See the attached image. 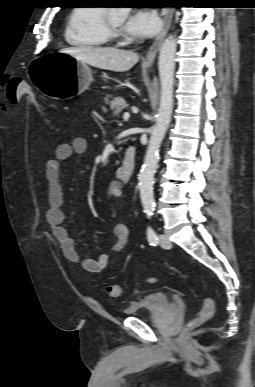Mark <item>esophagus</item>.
<instances>
[{
    "instance_id": "34e87169",
    "label": "esophagus",
    "mask_w": 255,
    "mask_h": 387,
    "mask_svg": "<svg viewBox=\"0 0 255 387\" xmlns=\"http://www.w3.org/2000/svg\"><path fill=\"white\" fill-rule=\"evenodd\" d=\"M164 18H163V27L158 36L156 37L153 44L150 46L146 57L143 60V63L147 66L151 65L156 57L157 52L159 51L161 44L165 35L167 34L173 18V9L167 8L163 10Z\"/></svg>"
}]
</instances>
